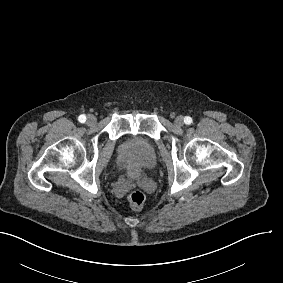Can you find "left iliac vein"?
<instances>
[{"mask_svg": "<svg viewBox=\"0 0 283 283\" xmlns=\"http://www.w3.org/2000/svg\"><path fill=\"white\" fill-rule=\"evenodd\" d=\"M174 124H175V126H177V127L183 126V124H184L183 116H177V117L175 118V120H174Z\"/></svg>", "mask_w": 283, "mask_h": 283, "instance_id": "4c4485c4", "label": "left iliac vein"}]
</instances>
